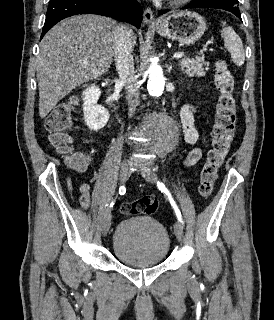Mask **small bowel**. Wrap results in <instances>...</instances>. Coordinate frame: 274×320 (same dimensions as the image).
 <instances>
[{"label":"small bowel","instance_id":"small-bowel-1","mask_svg":"<svg viewBox=\"0 0 274 320\" xmlns=\"http://www.w3.org/2000/svg\"><path fill=\"white\" fill-rule=\"evenodd\" d=\"M181 124L183 129L184 140L187 144L194 146L193 149L188 153L184 165L186 167L193 166L196 164L200 158L202 157V150L199 147H196V143L199 138V133L196 128V115L195 110L191 106H186L181 111ZM75 161H86V168H73L78 172H84L90 165L91 159L84 153H78L75 156ZM91 186L89 183L85 182L80 185L79 191L80 196L77 198V203L83 209H88L91 203V195H90Z\"/></svg>","mask_w":274,"mask_h":320}]
</instances>
